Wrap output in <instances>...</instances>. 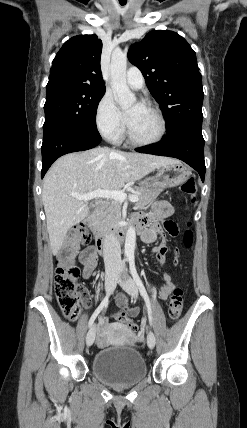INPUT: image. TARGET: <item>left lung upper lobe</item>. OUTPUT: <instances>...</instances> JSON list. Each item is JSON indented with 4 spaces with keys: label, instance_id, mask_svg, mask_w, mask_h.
I'll use <instances>...</instances> for the list:
<instances>
[{
    "label": "left lung upper lobe",
    "instance_id": "1",
    "mask_svg": "<svg viewBox=\"0 0 247 428\" xmlns=\"http://www.w3.org/2000/svg\"><path fill=\"white\" fill-rule=\"evenodd\" d=\"M129 61L136 65L159 103L168 131L202 122L203 88L196 55L187 41L172 31H152L131 46Z\"/></svg>",
    "mask_w": 247,
    "mask_h": 428
}]
</instances>
